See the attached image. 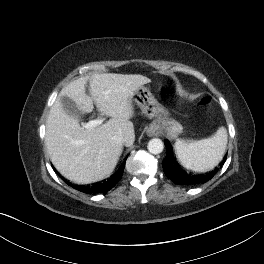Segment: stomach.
<instances>
[{"label": "stomach", "mask_w": 264, "mask_h": 264, "mask_svg": "<svg viewBox=\"0 0 264 264\" xmlns=\"http://www.w3.org/2000/svg\"><path fill=\"white\" fill-rule=\"evenodd\" d=\"M134 101L145 116L155 118L148 133L156 131L174 139L183 132L182 125L168 117V110L155 99L149 88L141 86L134 94Z\"/></svg>", "instance_id": "stomach-1"}]
</instances>
